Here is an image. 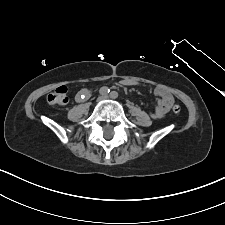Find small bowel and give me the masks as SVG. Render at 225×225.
<instances>
[{
  "mask_svg": "<svg viewBox=\"0 0 225 225\" xmlns=\"http://www.w3.org/2000/svg\"><path fill=\"white\" fill-rule=\"evenodd\" d=\"M122 86H140L141 82L137 80H131V79H125L121 81ZM92 93L91 89L83 88L81 89L76 97L75 100L77 102H83L88 97H90ZM154 95L156 97V106L154 111L150 112V116L154 119H160L165 116L167 111L172 107V105L175 103L174 96L168 92L166 89L157 87L154 90Z\"/></svg>",
  "mask_w": 225,
  "mask_h": 225,
  "instance_id": "1",
  "label": "small bowel"
}]
</instances>
